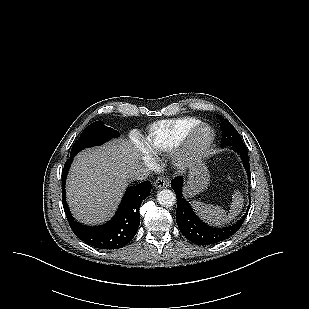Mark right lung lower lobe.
I'll use <instances>...</instances> for the list:
<instances>
[{
	"instance_id": "obj_1",
	"label": "right lung lower lobe",
	"mask_w": 309,
	"mask_h": 309,
	"mask_svg": "<svg viewBox=\"0 0 309 309\" xmlns=\"http://www.w3.org/2000/svg\"><path fill=\"white\" fill-rule=\"evenodd\" d=\"M74 156L66 161L62 171V200L69 225L83 242L99 249L114 250L128 244L135 236L139 224V206L150 195L151 183L141 182L129 187L114 217L100 226H86L72 217L65 199V181Z\"/></svg>"
}]
</instances>
